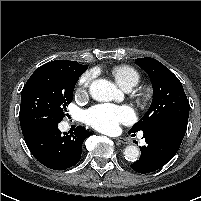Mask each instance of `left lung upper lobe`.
Wrapping results in <instances>:
<instances>
[{"instance_id":"5c2ea615","label":"left lung upper lobe","mask_w":201,"mask_h":201,"mask_svg":"<svg viewBox=\"0 0 201 201\" xmlns=\"http://www.w3.org/2000/svg\"><path fill=\"white\" fill-rule=\"evenodd\" d=\"M150 77L153 100L146 114L130 129L129 133L144 130L152 124L166 119L189 117V101L179 79L154 58L135 59Z\"/></svg>"}]
</instances>
